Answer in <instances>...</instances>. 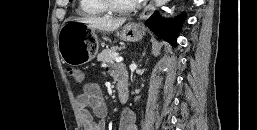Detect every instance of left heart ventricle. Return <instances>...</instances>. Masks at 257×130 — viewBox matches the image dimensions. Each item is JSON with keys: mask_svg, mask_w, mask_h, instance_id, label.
<instances>
[{"mask_svg": "<svg viewBox=\"0 0 257 130\" xmlns=\"http://www.w3.org/2000/svg\"><path fill=\"white\" fill-rule=\"evenodd\" d=\"M118 5L120 6H130L134 3H136L138 0H114Z\"/></svg>", "mask_w": 257, "mask_h": 130, "instance_id": "obj_1", "label": "left heart ventricle"}]
</instances>
